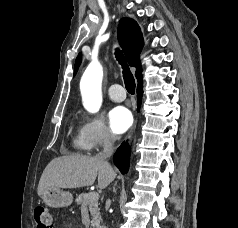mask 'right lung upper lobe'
I'll return each instance as SVG.
<instances>
[{"label":"right lung upper lobe","mask_w":238,"mask_h":228,"mask_svg":"<svg viewBox=\"0 0 238 228\" xmlns=\"http://www.w3.org/2000/svg\"><path fill=\"white\" fill-rule=\"evenodd\" d=\"M118 40L123 48L126 59L130 66L136 67L135 76L137 80L142 79V68L139 61V54L143 46V38L137 22L131 18H122L118 26ZM81 63V54L78 55L75 62L74 74Z\"/></svg>","instance_id":"1"}]
</instances>
